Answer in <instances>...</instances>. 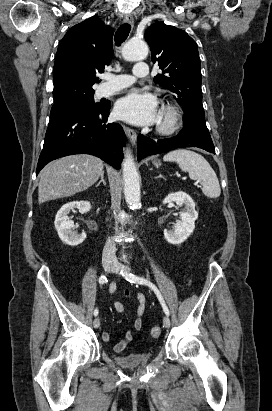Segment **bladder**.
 Instances as JSON below:
<instances>
[{"instance_id": "obj_1", "label": "bladder", "mask_w": 272, "mask_h": 411, "mask_svg": "<svg viewBox=\"0 0 272 411\" xmlns=\"http://www.w3.org/2000/svg\"><path fill=\"white\" fill-rule=\"evenodd\" d=\"M152 353L130 354V355H114V362L128 370H135L146 366L152 360Z\"/></svg>"}]
</instances>
